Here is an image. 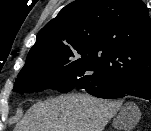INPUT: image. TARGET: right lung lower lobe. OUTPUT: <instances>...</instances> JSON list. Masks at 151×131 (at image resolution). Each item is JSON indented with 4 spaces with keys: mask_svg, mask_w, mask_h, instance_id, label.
<instances>
[{
    "mask_svg": "<svg viewBox=\"0 0 151 131\" xmlns=\"http://www.w3.org/2000/svg\"><path fill=\"white\" fill-rule=\"evenodd\" d=\"M75 89L86 90L89 94L104 99H118L132 95L151 102V77L139 80L79 79Z\"/></svg>",
    "mask_w": 151,
    "mask_h": 131,
    "instance_id": "obj_1",
    "label": "right lung lower lobe"
}]
</instances>
